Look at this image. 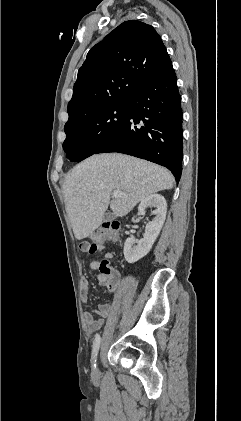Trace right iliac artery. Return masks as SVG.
<instances>
[{
	"label": "right iliac artery",
	"mask_w": 241,
	"mask_h": 421,
	"mask_svg": "<svg viewBox=\"0 0 241 421\" xmlns=\"http://www.w3.org/2000/svg\"><path fill=\"white\" fill-rule=\"evenodd\" d=\"M100 342H101L100 335L99 334H96L95 340L93 342L92 360H94L96 358V356H97V353H98V350H99V346H100ZM93 366L95 367L96 364H93Z\"/></svg>",
	"instance_id": "82829eb1"
}]
</instances>
